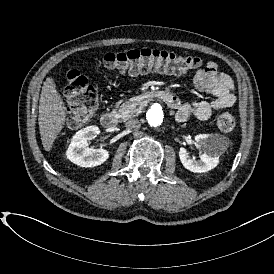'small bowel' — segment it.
Returning a JSON list of instances; mask_svg holds the SVG:
<instances>
[{"label": "small bowel", "instance_id": "obj_1", "mask_svg": "<svg viewBox=\"0 0 274 274\" xmlns=\"http://www.w3.org/2000/svg\"><path fill=\"white\" fill-rule=\"evenodd\" d=\"M194 87L201 93L212 94V101L184 103L176 110V120L185 122L191 116L199 121H207L215 110L230 108L236 101L235 86L231 77L218 70L214 61L198 68L193 76Z\"/></svg>", "mask_w": 274, "mask_h": 274}]
</instances>
